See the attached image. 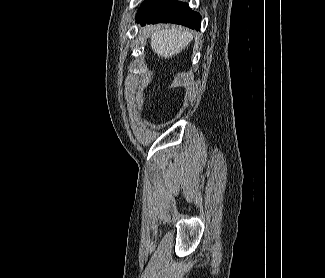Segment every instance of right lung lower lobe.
<instances>
[{
  "instance_id": "obj_1",
  "label": "right lung lower lobe",
  "mask_w": 325,
  "mask_h": 278,
  "mask_svg": "<svg viewBox=\"0 0 325 278\" xmlns=\"http://www.w3.org/2000/svg\"><path fill=\"white\" fill-rule=\"evenodd\" d=\"M145 25L175 23L191 29H200L201 16L190 9L188 4L174 0H150L145 2L136 16V22Z\"/></svg>"
}]
</instances>
